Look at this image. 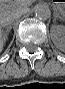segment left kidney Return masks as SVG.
Segmentation results:
<instances>
[{
    "label": "left kidney",
    "mask_w": 65,
    "mask_h": 89,
    "mask_svg": "<svg viewBox=\"0 0 65 89\" xmlns=\"http://www.w3.org/2000/svg\"><path fill=\"white\" fill-rule=\"evenodd\" d=\"M53 42L59 50L65 51V28L63 26L58 27V35L53 36Z\"/></svg>",
    "instance_id": "5707ae66"
}]
</instances>
